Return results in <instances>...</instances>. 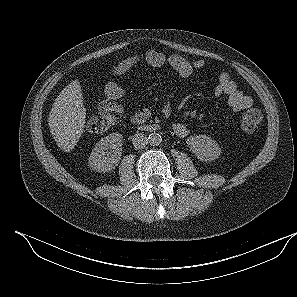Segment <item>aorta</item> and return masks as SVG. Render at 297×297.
Masks as SVG:
<instances>
[{
    "instance_id": "obj_1",
    "label": "aorta",
    "mask_w": 297,
    "mask_h": 297,
    "mask_svg": "<svg viewBox=\"0 0 297 297\" xmlns=\"http://www.w3.org/2000/svg\"><path fill=\"white\" fill-rule=\"evenodd\" d=\"M148 142L151 146H158L162 142V137L159 133H151L148 137Z\"/></svg>"
}]
</instances>
